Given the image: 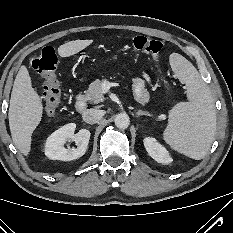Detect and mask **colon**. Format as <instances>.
I'll use <instances>...</instances> for the list:
<instances>
[{
    "instance_id": "colon-1",
    "label": "colon",
    "mask_w": 233,
    "mask_h": 233,
    "mask_svg": "<svg viewBox=\"0 0 233 233\" xmlns=\"http://www.w3.org/2000/svg\"><path fill=\"white\" fill-rule=\"evenodd\" d=\"M132 45L134 49L150 54L154 58L159 56L163 48L161 41L144 36L135 37ZM31 65L43 79V108L46 116L51 117L61 101V88L56 75L58 58L54 48L50 46L43 48L41 54L32 59Z\"/></svg>"
}]
</instances>
